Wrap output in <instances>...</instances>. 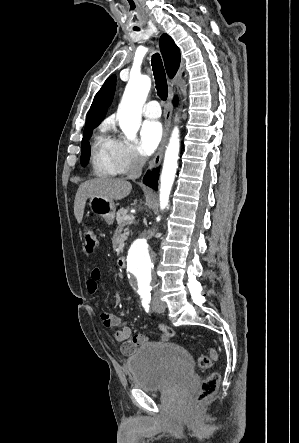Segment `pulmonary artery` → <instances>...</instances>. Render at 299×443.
I'll list each match as a JSON object with an SVG mask.
<instances>
[{"label":"pulmonary artery","mask_w":299,"mask_h":443,"mask_svg":"<svg viewBox=\"0 0 299 443\" xmlns=\"http://www.w3.org/2000/svg\"><path fill=\"white\" fill-rule=\"evenodd\" d=\"M143 114L145 117L150 119H155L160 117L161 109L159 103L155 100L149 101L143 109Z\"/></svg>","instance_id":"e3ab8cb5"}]
</instances>
